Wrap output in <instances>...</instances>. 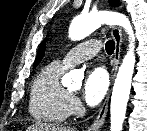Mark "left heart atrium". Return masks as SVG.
I'll list each match as a JSON object with an SVG mask.
<instances>
[{
	"mask_svg": "<svg viewBox=\"0 0 147 131\" xmlns=\"http://www.w3.org/2000/svg\"><path fill=\"white\" fill-rule=\"evenodd\" d=\"M108 88V76L104 69L100 67L90 70L83 84V98L90 106H95L101 102Z\"/></svg>",
	"mask_w": 147,
	"mask_h": 131,
	"instance_id": "left-heart-atrium-1",
	"label": "left heart atrium"
}]
</instances>
